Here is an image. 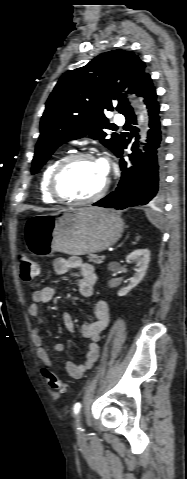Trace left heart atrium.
Wrapping results in <instances>:
<instances>
[{
	"mask_svg": "<svg viewBox=\"0 0 187 479\" xmlns=\"http://www.w3.org/2000/svg\"><path fill=\"white\" fill-rule=\"evenodd\" d=\"M100 168L102 169L103 173L105 175H107L108 171H109V165H108V161L105 159V158H101L100 160H97Z\"/></svg>",
	"mask_w": 187,
	"mask_h": 479,
	"instance_id": "left-heart-atrium-1",
	"label": "left heart atrium"
}]
</instances>
